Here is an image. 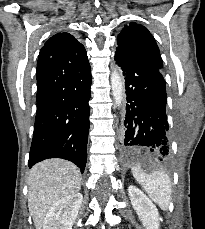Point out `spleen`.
<instances>
[{
    "mask_svg": "<svg viewBox=\"0 0 205 229\" xmlns=\"http://www.w3.org/2000/svg\"><path fill=\"white\" fill-rule=\"evenodd\" d=\"M132 174L151 200L158 204L162 210H167L172 193L171 181L168 175L163 171L146 174L139 167H133Z\"/></svg>",
    "mask_w": 205,
    "mask_h": 229,
    "instance_id": "3e777b00",
    "label": "spleen"
}]
</instances>
